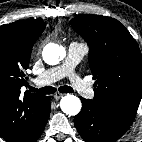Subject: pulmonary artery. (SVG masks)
I'll return each mask as SVG.
<instances>
[{
    "label": "pulmonary artery",
    "instance_id": "obj_1",
    "mask_svg": "<svg viewBox=\"0 0 142 142\" xmlns=\"http://www.w3.org/2000/svg\"><path fill=\"white\" fill-rule=\"evenodd\" d=\"M87 53L88 46L86 44L70 43L64 63L46 70L34 79V83L45 86L67 77L76 92L85 98H92L94 96L93 88L75 73V67Z\"/></svg>",
    "mask_w": 142,
    "mask_h": 142
}]
</instances>
